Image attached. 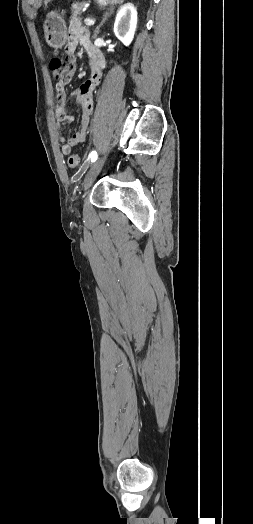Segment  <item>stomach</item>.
Segmentation results:
<instances>
[{"label": "stomach", "instance_id": "0dacf381", "mask_svg": "<svg viewBox=\"0 0 253 524\" xmlns=\"http://www.w3.org/2000/svg\"><path fill=\"white\" fill-rule=\"evenodd\" d=\"M122 0H96L101 6L116 4ZM45 39L48 45L53 48H61L67 39V27L63 17L56 11L48 13L43 25Z\"/></svg>", "mask_w": 253, "mask_h": 524}]
</instances>
